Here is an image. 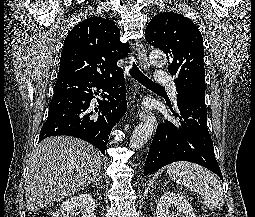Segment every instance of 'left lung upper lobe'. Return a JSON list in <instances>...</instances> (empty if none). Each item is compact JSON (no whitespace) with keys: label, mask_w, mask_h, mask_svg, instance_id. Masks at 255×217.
Here are the masks:
<instances>
[{"label":"left lung upper lobe","mask_w":255,"mask_h":217,"mask_svg":"<svg viewBox=\"0 0 255 217\" xmlns=\"http://www.w3.org/2000/svg\"><path fill=\"white\" fill-rule=\"evenodd\" d=\"M145 39L167 55L177 92L205 99L204 47L197 26L174 12L160 13L149 22Z\"/></svg>","instance_id":"obj_1"}]
</instances>
